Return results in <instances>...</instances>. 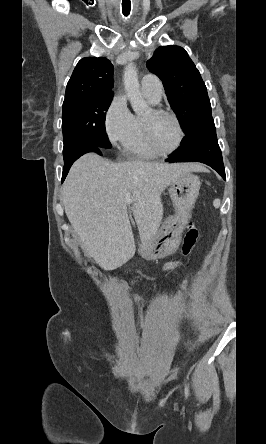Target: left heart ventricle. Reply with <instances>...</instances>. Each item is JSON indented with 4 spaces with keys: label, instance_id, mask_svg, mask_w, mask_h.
Masks as SVG:
<instances>
[{
    "label": "left heart ventricle",
    "instance_id": "b2bd125f",
    "mask_svg": "<svg viewBox=\"0 0 266 444\" xmlns=\"http://www.w3.org/2000/svg\"><path fill=\"white\" fill-rule=\"evenodd\" d=\"M144 117L151 120L152 135L157 146L164 151L174 148L179 136L175 121L165 115L152 116L150 111Z\"/></svg>",
    "mask_w": 266,
    "mask_h": 444
}]
</instances>
